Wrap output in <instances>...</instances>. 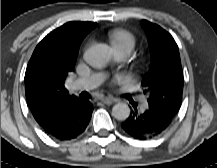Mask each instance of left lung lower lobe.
I'll return each instance as SVG.
<instances>
[{
	"label": "left lung lower lobe",
	"mask_w": 217,
	"mask_h": 168,
	"mask_svg": "<svg viewBox=\"0 0 217 168\" xmlns=\"http://www.w3.org/2000/svg\"><path fill=\"white\" fill-rule=\"evenodd\" d=\"M175 113L162 105L149 102L148 109L127 119L122 128L131 136L145 139L160 134L171 123Z\"/></svg>",
	"instance_id": "0a47b994"
}]
</instances>
